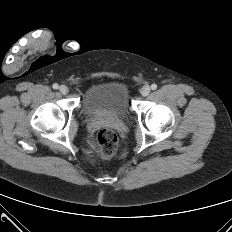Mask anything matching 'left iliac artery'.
Instances as JSON below:
<instances>
[{
	"instance_id": "obj_1",
	"label": "left iliac artery",
	"mask_w": 232,
	"mask_h": 232,
	"mask_svg": "<svg viewBox=\"0 0 232 232\" xmlns=\"http://www.w3.org/2000/svg\"><path fill=\"white\" fill-rule=\"evenodd\" d=\"M151 89H152V90H156V89H157V85H156V84H152V85H151Z\"/></svg>"
}]
</instances>
